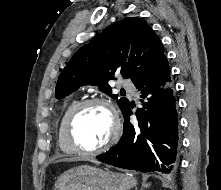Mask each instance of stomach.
<instances>
[{
  "mask_svg": "<svg viewBox=\"0 0 221 190\" xmlns=\"http://www.w3.org/2000/svg\"><path fill=\"white\" fill-rule=\"evenodd\" d=\"M136 182L131 175L81 165L61 174L54 190H129Z\"/></svg>",
  "mask_w": 221,
  "mask_h": 190,
  "instance_id": "obj_1",
  "label": "stomach"
}]
</instances>
